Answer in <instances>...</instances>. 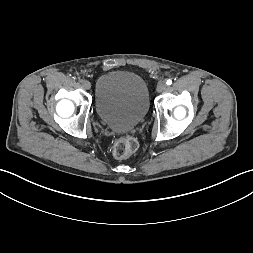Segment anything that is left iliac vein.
<instances>
[{"instance_id": "left-iliac-vein-1", "label": "left iliac vein", "mask_w": 253, "mask_h": 253, "mask_svg": "<svg viewBox=\"0 0 253 253\" xmlns=\"http://www.w3.org/2000/svg\"><path fill=\"white\" fill-rule=\"evenodd\" d=\"M167 89V84L164 81H160L157 85V91L159 93L165 91Z\"/></svg>"}]
</instances>
